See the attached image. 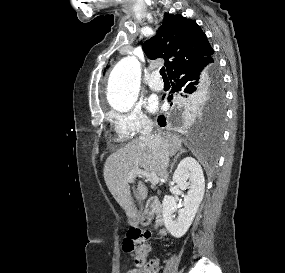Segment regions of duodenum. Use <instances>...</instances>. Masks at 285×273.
Masks as SVG:
<instances>
[{"mask_svg":"<svg viewBox=\"0 0 285 273\" xmlns=\"http://www.w3.org/2000/svg\"><path fill=\"white\" fill-rule=\"evenodd\" d=\"M161 212H162V207H161L159 200L157 198L152 197L148 200L144 214L141 218V222L145 223L151 218L156 217L157 218L156 223L158 225H161L162 221L159 218V215L161 214Z\"/></svg>","mask_w":285,"mask_h":273,"instance_id":"410a0bca","label":"duodenum"}]
</instances>
